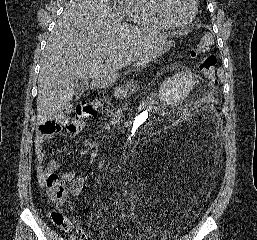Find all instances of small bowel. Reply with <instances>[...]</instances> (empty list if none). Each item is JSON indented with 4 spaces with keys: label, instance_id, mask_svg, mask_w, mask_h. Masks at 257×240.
<instances>
[{
    "label": "small bowel",
    "instance_id": "c3829d8e",
    "mask_svg": "<svg viewBox=\"0 0 257 240\" xmlns=\"http://www.w3.org/2000/svg\"><path fill=\"white\" fill-rule=\"evenodd\" d=\"M78 127L69 124L66 126V132L69 134H76L78 132ZM53 138L52 134H43L38 133L35 139V151H36V157L38 162L37 172H38V179L40 182H44L45 178L50 175L54 174L58 171L60 164L55 159H50L45 167H42L41 164L45 161L46 155L44 152L43 145L46 141ZM60 178L62 181L69 184V193L72 196H78L81 193V190L83 188V178L78 174L77 171H69L66 173H62L60 175ZM69 229L74 230L78 240H88L86 234L79 226L78 222L74 219H71L69 221Z\"/></svg>",
    "mask_w": 257,
    "mask_h": 240
}]
</instances>
